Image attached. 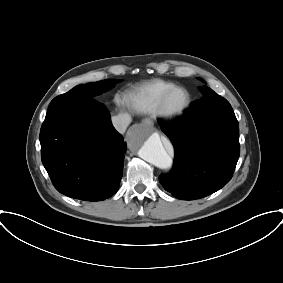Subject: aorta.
Segmentation results:
<instances>
[{
	"instance_id": "1",
	"label": "aorta",
	"mask_w": 283,
	"mask_h": 283,
	"mask_svg": "<svg viewBox=\"0 0 283 283\" xmlns=\"http://www.w3.org/2000/svg\"><path fill=\"white\" fill-rule=\"evenodd\" d=\"M128 145L145 161L165 171L171 169L173 160L167 153L159 134L150 127L135 126L128 136Z\"/></svg>"
}]
</instances>
